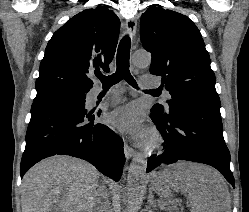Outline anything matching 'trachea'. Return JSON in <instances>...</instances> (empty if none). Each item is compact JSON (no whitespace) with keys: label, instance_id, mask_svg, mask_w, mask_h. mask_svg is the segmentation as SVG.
Returning <instances> with one entry per match:
<instances>
[{"label":"trachea","instance_id":"3493384b","mask_svg":"<svg viewBox=\"0 0 249 212\" xmlns=\"http://www.w3.org/2000/svg\"><path fill=\"white\" fill-rule=\"evenodd\" d=\"M130 46L131 41L128 35H125L121 40L118 50H117V70L112 75H108L107 77L102 74H96V76L101 80L103 88H109L112 85L120 82V80L124 79L128 82L132 87L137 88V83L132 77L129 70V58H130Z\"/></svg>","mask_w":249,"mask_h":212}]
</instances>
